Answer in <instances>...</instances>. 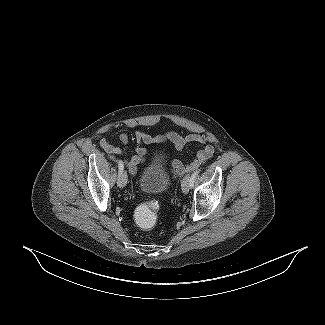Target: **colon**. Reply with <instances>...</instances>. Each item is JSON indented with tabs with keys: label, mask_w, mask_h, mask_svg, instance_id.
<instances>
[{
	"label": "colon",
	"mask_w": 325,
	"mask_h": 325,
	"mask_svg": "<svg viewBox=\"0 0 325 325\" xmlns=\"http://www.w3.org/2000/svg\"><path fill=\"white\" fill-rule=\"evenodd\" d=\"M158 218V208L154 201L149 200L141 204L134 213L136 224L143 230L154 227Z\"/></svg>",
	"instance_id": "1"
}]
</instances>
